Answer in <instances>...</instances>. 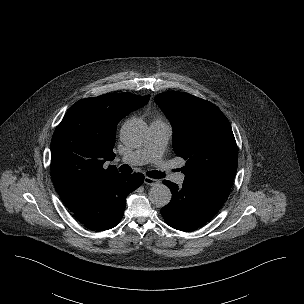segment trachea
Returning <instances> with one entry per match:
<instances>
[{"instance_id": "1", "label": "trachea", "mask_w": 304, "mask_h": 304, "mask_svg": "<svg viewBox=\"0 0 304 304\" xmlns=\"http://www.w3.org/2000/svg\"><path fill=\"white\" fill-rule=\"evenodd\" d=\"M119 171L123 172V173H131L132 169H131L130 166L124 164V165L120 166ZM146 175L151 177V178H155V179H160V178H163L165 176V174L160 172V171H148L146 173Z\"/></svg>"}]
</instances>
